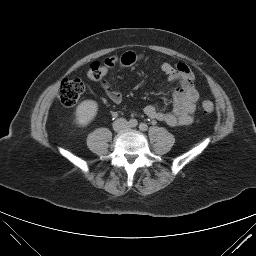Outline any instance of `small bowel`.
Returning a JSON list of instances; mask_svg holds the SVG:
<instances>
[{
    "instance_id": "1",
    "label": "small bowel",
    "mask_w": 256,
    "mask_h": 256,
    "mask_svg": "<svg viewBox=\"0 0 256 256\" xmlns=\"http://www.w3.org/2000/svg\"><path fill=\"white\" fill-rule=\"evenodd\" d=\"M142 59V54L132 51L125 52L119 57H108L103 63V76L107 75L115 65L127 68ZM161 70L167 80L179 84L173 92V109L170 112H162L156 105L148 104L144 108V113L149 118L162 121L172 127L190 125L194 120L196 103L199 99V93L194 85L193 73L184 64L172 65L169 62L162 63ZM101 85L112 102L119 104L122 101V94L114 89L108 81L102 80Z\"/></svg>"
}]
</instances>
